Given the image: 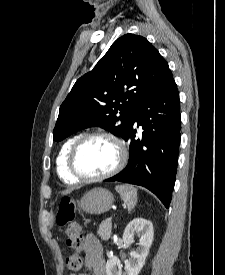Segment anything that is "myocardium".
<instances>
[{
	"label": "myocardium",
	"instance_id": "f54148a6",
	"mask_svg": "<svg viewBox=\"0 0 225 275\" xmlns=\"http://www.w3.org/2000/svg\"><path fill=\"white\" fill-rule=\"evenodd\" d=\"M94 138H102L111 141L115 144L118 151V159L117 163L114 166V168L104 174L101 175H83L81 174L76 167V156L82 147V145L91 139ZM128 158V152L127 148L124 144V142L117 136L112 135L107 132H91L84 135L79 136L76 141L73 143V145L70 148V151L68 153L67 157V167L70 172V174L76 179V180H82V181H101L107 178H110L116 174H118L125 166Z\"/></svg>",
	"mask_w": 225,
	"mask_h": 275
}]
</instances>
